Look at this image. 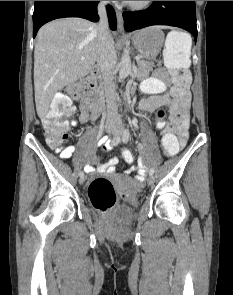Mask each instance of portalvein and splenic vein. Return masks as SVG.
<instances>
[{"label": "portal vein and splenic vein", "instance_id": "1", "mask_svg": "<svg viewBox=\"0 0 233 295\" xmlns=\"http://www.w3.org/2000/svg\"><path fill=\"white\" fill-rule=\"evenodd\" d=\"M139 59H140L139 57H136V60H137V61H139ZM81 60H84V58H81Z\"/></svg>", "mask_w": 233, "mask_h": 295}]
</instances>
